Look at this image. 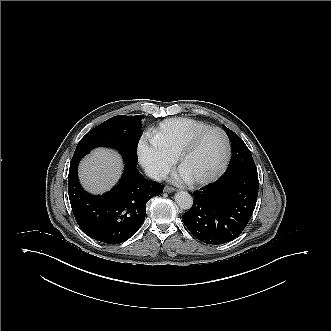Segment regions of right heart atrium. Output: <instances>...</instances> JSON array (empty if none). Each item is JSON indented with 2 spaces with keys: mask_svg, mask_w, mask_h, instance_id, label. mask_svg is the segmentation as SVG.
<instances>
[{
  "mask_svg": "<svg viewBox=\"0 0 331 331\" xmlns=\"http://www.w3.org/2000/svg\"><path fill=\"white\" fill-rule=\"evenodd\" d=\"M140 164L153 178L165 177L173 168L174 155L155 147L147 138H142L138 145Z\"/></svg>",
  "mask_w": 331,
  "mask_h": 331,
  "instance_id": "1",
  "label": "right heart atrium"
}]
</instances>
